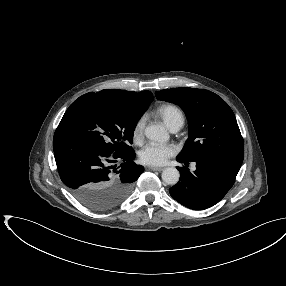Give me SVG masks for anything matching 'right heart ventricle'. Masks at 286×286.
<instances>
[{
    "mask_svg": "<svg viewBox=\"0 0 286 286\" xmlns=\"http://www.w3.org/2000/svg\"><path fill=\"white\" fill-rule=\"evenodd\" d=\"M157 113L169 127L179 123L183 125L184 123L183 112L175 105H162L157 109Z\"/></svg>",
    "mask_w": 286,
    "mask_h": 286,
    "instance_id": "1",
    "label": "right heart ventricle"
}]
</instances>
